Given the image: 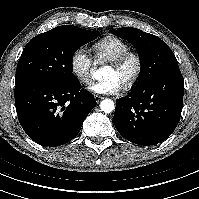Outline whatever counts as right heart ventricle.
I'll return each instance as SVG.
<instances>
[{
    "label": "right heart ventricle",
    "mask_w": 199,
    "mask_h": 199,
    "mask_svg": "<svg viewBox=\"0 0 199 199\" xmlns=\"http://www.w3.org/2000/svg\"><path fill=\"white\" fill-rule=\"evenodd\" d=\"M98 60L111 62L130 50V45L117 37H106L96 42L92 47Z\"/></svg>",
    "instance_id": "1"
}]
</instances>
